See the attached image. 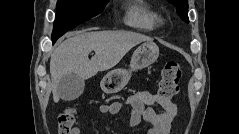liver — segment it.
Masks as SVG:
<instances>
[{"instance_id": "obj_1", "label": "liver", "mask_w": 239, "mask_h": 134, "mask_svg": "<svg viewBox=\"0 0 239 134\" xmlns=\"http://www.w3.org/2000/svg\"><path fill=\"white\" fill-rule=\"evenodd\" d=\"M144 41L151 38L128 31H99L80 33L62 42L50 59L54 102L59 101L57 86L63 76L74 73L89 79L98 71L116 66L129 50ZM92 50L95 55L90 60Z\"/></svg>"}]
</instances>
